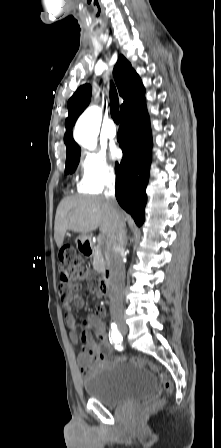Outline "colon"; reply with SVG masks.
I'll return each instance as SVG.
<instances>
[{
    "label": "colon",
    "mask_w": 221,
    "mask_h": 448,
    "mask_svg": "<svg viewBox=\"0 0 221 448\" xmlns=\"http://www.w3.org/2000/svg\"><path fill=\"white\" fill-rule=\"evenodd\" d=\"M82 277V271L80 266V260L76 254L75 249L72 246H65L62 248L59 254V287L62 291L67 290L69 287L75 285ZM129 362L133 365L148 366L152 371L156 372L159 376L163 387L166 390H171V382L167 379L165 373H163L155 364L143 358H131ZM160 402H154L149 404L141 412L142 417H146L154 412L159 406Z\"/></svg>",
    "instance_id": "colon-1"
}]
</instances>
